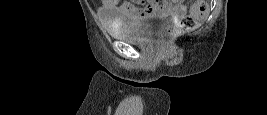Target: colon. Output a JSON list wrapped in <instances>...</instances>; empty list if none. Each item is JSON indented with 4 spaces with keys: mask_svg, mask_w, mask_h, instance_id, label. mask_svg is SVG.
<instances>
[{
    "mask_svg": "<svg viewBox=\"0 0 267 115\" xmlns=\"http://www.w3.org/2000/svg\"><path fill=\"white\" fill-rule=\"evenodd\" d=\"M192 12L181 19L177 26L169 28L163 35L164 40L173 39L187 30L193 29L197 22L195 19V13L199 12L203 8V3L201 1H191ZM203 10V9H202Z\"/></svg>",
    "mask_w": 267,
    "mask_h": 115,
    "instance_id": "obj_1",
    "label": "colon"
}]
</instances>
